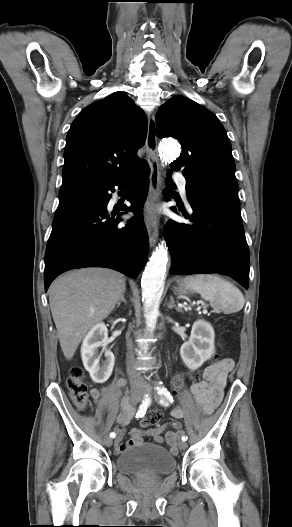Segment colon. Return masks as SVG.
<instances>
[{
    "instance_id": "5ec220e1",
    "label": "colon",
    "mask_w": 292,
    "mask_h": 527,
    "mask_svg": "<svg viewBox=\"0 0 292 527\" xmlns=\"http://www.w3.org/2000/svg\"><path fill=\"white\" fill-rule=\"evenodd\" d=\"M189 378L194 382L200 380V374L198 372L189 375ZM66 386L69 397L79 409H84L88 402V385L84 380V373L82 368L73 367L68 375ZM161 413L157 410H150L142 418L140 424L142 427L147 428L156 425L161 419ZM179 434V433H178ZM179 438V437H178Z\"/></svg>"
}]
</instances>
